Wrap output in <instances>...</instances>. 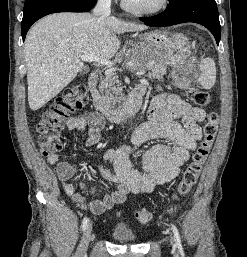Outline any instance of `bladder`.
Returning <instances> with one entry per match:
<instances>
[{"instance_id":"bladder-1","label":"bladder","mask_w":247,"mask_h":257,"mask_svg":"<svg viewBox=\"0 0 247 257\" xmlns=\"http://www.w3.org/2000/svg\"><path fill=\"white\" fill-rule=\"evenodd\" d=\"M112 237L119 242H130L136 240L135 234L125 227L118 226L112 230Z\"/></svg>"}]
</instances>
